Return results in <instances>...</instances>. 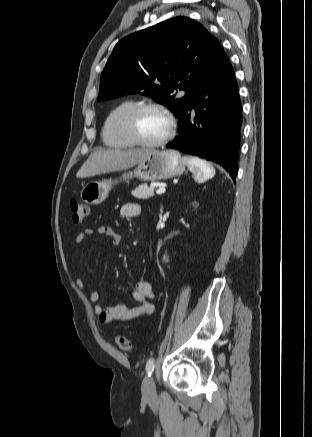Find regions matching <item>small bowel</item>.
I'll return each instance as SVG.
<instances>
[{"label":"small bowel","instance_id":"c3829d8e","mask_svg":"<svg viewBox=\"0 0 312 437\" xmlns=\"http://www.w3.org/2000/svg\"><path fill=\"white\" fill-rule=\"evenodd\" d=\"M139 214L140 206L137 203L129 202L121 207V215L125 218H135ZM92 233L93 231L91 229H85L79 233L76 238V244L82 245L85 238ZM97 233L109 237L114 246H120L122 244V236L109 226L99 227ZM76 283L81 288L84 285L80 278L77 279ZM132 296L135 301V305L133 306H103L98 303L100 296L97 291L88 292V299L95 303L94 313L99 322L103 325H107L113 321H128L153 314L154 306L150 302V299L153 298V290L149 282L145 280L137 281Z\"/></svg>","mask_w":312,"mask_h":437}]
</instances>
